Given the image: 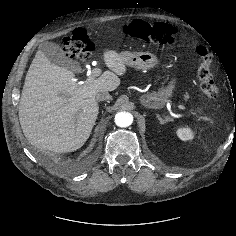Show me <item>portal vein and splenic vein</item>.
Masks as SVG:
<instances>
[{
	"label": "portal vein and splenic vein",
	"mask_w": 236,
	"mask_h": 236,
	"mask_svg": "<svg viewBox=\"0 0 236 236\" xmlns=\"http://www.w3.org/2000/svg\"><path fill=\"white\" fill-rule=\"evenodd\" d=\"M100 73H101V70H100L99 68H94V69L92 70V74L89 76V78L87 79L86 82H91V81H93L95 77H97V76L100 75ZM178 108H179V109H182V110H185V109H186V108H185L184 106H182V105H178Z\"/></svg>",
	"instance_id": "portal-vein-and-splenic-vein-1"
}]
</instances>
